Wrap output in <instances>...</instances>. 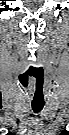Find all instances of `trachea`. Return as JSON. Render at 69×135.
I'll use <instances>...</instances> for the list:
<instances>
[{
	"label": "trachea",
	"mask_w": 69,
	"mask_h": 135,
	"mask_svg": "<svg viewBox=\"0 0 69 135\" xmlns=\"http://www.w3.org/2000/svg\"><path fill=\"white\" fill-rule=\"evenodd\" d=\"M44 107V103H32V109L35 113L40 112Z\"/></svg>",
	"instance_id": "obj_1"
}]
</instances>
